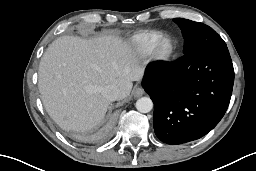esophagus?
Here are the masks:
<instances>
[{
  "label": "esophagus",
  "instance_id": "34e87169",
  "mask_svg": "<svg viewBox=\"0 0 256 171\" xmlns=\"http://www.w3.org/2000/svg\"><path fill=\"white\" fill-rule=\"evenodd\" d=\"M132 94L136 98L141 97L144 94V89L140 86H137L133 89Z\"/></svg>",
  "mask_w": 256,
  "mask_h": 171
}]
</instances>
